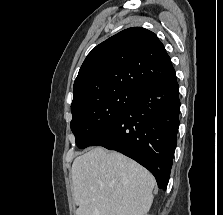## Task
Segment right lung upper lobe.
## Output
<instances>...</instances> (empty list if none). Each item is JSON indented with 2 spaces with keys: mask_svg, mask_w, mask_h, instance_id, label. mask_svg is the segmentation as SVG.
Wrapping results in <instances>:
<instances>
[{
  "mask_svg": "<svg viewBox=\"0 0 223 215\" xmlns=\"http://www.w3.org/2000/svg\"><path fill=\"white\" fill-rule=\"evenodd\" d=\"M174 76L170 57L156 34L128 28L87 55L74 82L71 108L112 91L139 94Z\"/></svg>",
  "mask_w": 223,
  "mask_h": 215,
  "instance_id": "obj_1",
  "label": "right lung upper lobe"
}]
</instances>
